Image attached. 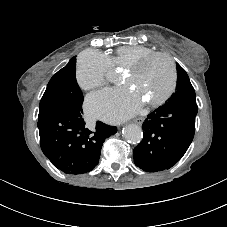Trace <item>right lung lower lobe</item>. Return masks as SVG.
<instances>
[{
	"label": "right lung lower lobe",
	"mask_w": 227,
	"mask_h": 227,
	"mask_svg": "<svg viewBox=\"0 0 227 227\" xmlns=\"http://www.w3.org/2000/svg\"><path fill=\"white\" fill-rule=\"evenodd\" d=\"M82 113V108H62L38 118L41 149L66 174L91 171L99 162L103 142L117 132L100 121L89 130Z\"/></svg>",
	"instance_id": "obj_1"
}]
</instances>
